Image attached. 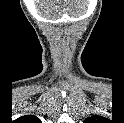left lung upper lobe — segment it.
Masks as SVG:
<instances>
[{
  "mask_svg": "<svg viewBox=\"0 0 124 123\" xmlns=\"http://www.w3.org/2000/svg\"><path fill=\"white\" fill-rule=\"evenodd\" d=\"M100 118H101L100 116L94 115V116H92V117H88V118L85 120V122H87V123H94L95 120H98V119H100Z\"/></svg>",
  "mask_w": 124,
  "mask_h": 123,
  "instance_id": "left-lung-upper-lobe-1",
  "label": "left lung upper lobe"
}]
</instances>
